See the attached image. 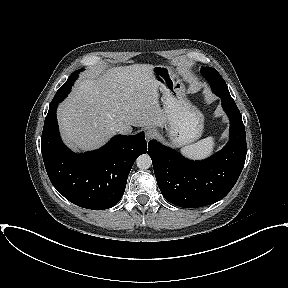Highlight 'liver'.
I'll use <instances>...</instances> for the list:
<instances>
[{"label":"liver","mask_w":288,"mask_h":288,"mask_svg":"<svg viewBox=\"0 0 288 288\" xmlns=\"http://www.w3.org/2000/svg\"><path fill=\"white\" fill-rule=\"evenodd\" d=\"M151 64L112 67L78 81L57 110L61 137L73 151L103 146L123 127H163Z\"/></svg>","instance_id":"6515ba94"}]
</instances>
